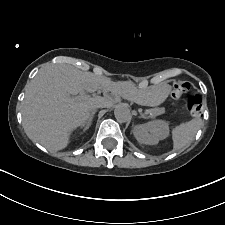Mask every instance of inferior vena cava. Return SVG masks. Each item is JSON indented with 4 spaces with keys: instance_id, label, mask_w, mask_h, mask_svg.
Returning <instances> with one entry per match:
<instances>
[{
    "instance_id": "obj_1",
    "label": "inferior vena cava",
    "mask_w": 225,
    "mask_h": 225,
    "mask_svg": "<svg viewBox=\"0 0 225 225\" xmlns=\"http://www.w3.org/2000/svg\"><path fill=\"white\" fill-rule=\"evenodd\" d=\"M103 107H105L104 103H97L92 107V111L96 110L97 108H103Z\"/></svg>"
}]
</instances>
